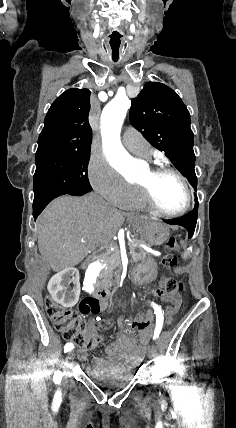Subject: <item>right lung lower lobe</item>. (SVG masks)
Wrapping results in <instances>:
<instances>
[{
    "instance_id": "right-lung-lower-lobe-1",
    "label": "right lung lower lobe",
    "mask_w": 236,
    "mask_h": 428,
    "mask_svg": "<svg viewBox=\"0 0 236 428\" xmlns=\"http://www.w3.org/2000/svg\"><path fill=\"white\" fill-rule=\"evenodd\" d=\"M87 192L90 191H69V192H62V193H56V194H52L46 197H43L41 199L38 200H34L33 203V216H34V220H36V218L38 217V215L43 211V209L46 207V205L53 200L54 198L60 196V195H64V194H70L73 196H81Z\"/></svg>"
}]
</instances>
